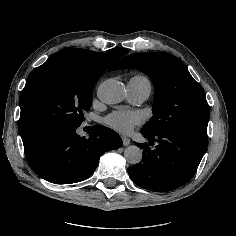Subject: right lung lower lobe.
I'll list each match as a JSON object with an SVG mask.
<instances>
[{"label":"right lung lower lobe","mask_w":236,"mask_h":236,"mask_svg":"<svg viewBox=\"0 0 236 236\" xmlns=\"http://www.w3.org/2000/svg\"><path fill=\"white\" fill-rule=\"evenodd\" d=\"M77 128L52 129L24 146L29 165L41 178L55 184L80 182L94 172L105 152L123 144L105 126H93L88 138L78 135Z\"/></svg>","instance_id":"right-lung-lower-lobe-1"}]
</instances>
